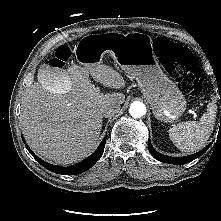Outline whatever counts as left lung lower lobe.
<instances>
[{
    "instance_id": "0a47b994",
    "label": "left lung lower lobe",
    "mask_w": 221,
    "mask_h": 221,
    "mask_svg": "<svg viewBox=\"0 0 221 221\" xmlns=\"http://www.w3.org/2000/svg\"><path fill=\"white\" fill-rule=\"evenodd\" d=\"M211 146V143L206 146L203 150L195 153V154H192V155H189V156H184V157H169V156H166V155H162L160 153H158L151 145V142H150V138L148 140V149L150 151V153L152 154V156L161 161V162H165V163H170V164H176V165H181V164H186V163H189L191 161H193L194 159L198 158L199 156H201L204 152L207 151V149Z\"/></svg>"
}]
</instances>
